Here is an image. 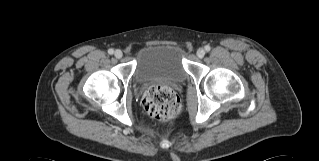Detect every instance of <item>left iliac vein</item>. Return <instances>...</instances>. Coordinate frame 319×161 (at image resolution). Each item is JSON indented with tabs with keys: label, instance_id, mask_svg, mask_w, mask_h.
I'll use <instances>...</instances> for the list:
<instances>
[{
	"label": "left iliac vein",
	"instance_id": "left-iliac-vein-1",
	"mask_svg": "<svg viewBox=\"0 0 319 161\" xmlns=\"http://www.w3.org/2000/svg\"><path fill=\"white\" fill-rule=\"evenodd\" d=\"M205 50L203 49V48H199L198 50H197V52H196V54H197V56L199 57V58H203L204 57V55H205Z\"/></svg>",
	"mask_w": 319,
	"mask_h": 161
}]
</instances>
